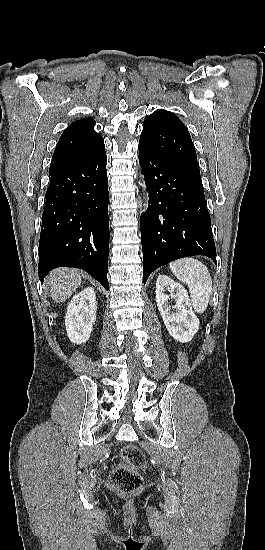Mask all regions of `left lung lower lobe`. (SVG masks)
Masks as SVG:
<instances>
[{"mask_svg":"<svg viewBox=\"0 0 265 550\" xmlns=\"http://www.w3.org/2000/svg\"><path fill=\"white\" fill-rule=\"evenodd\" d=\"M138 148L149 192L140 218L144 284L155 269L179 258L205 255L217 263L201 178Z\"/></svg>","mask_w":265,"mask_h":550,"instance_id":"obj_1","label":"left lung lower lobe"}]
</instances>
